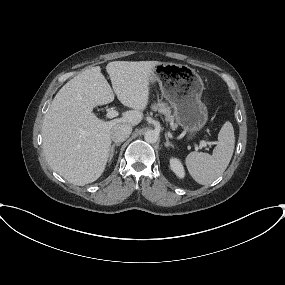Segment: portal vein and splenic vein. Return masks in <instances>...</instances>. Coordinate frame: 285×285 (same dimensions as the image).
<instances>
[{
  "label": "portal vein and splenic vein",
  "mask_w": 285,
  "mask_h": 285,
  "mask_svg": "<svg viewBox=\"0 0 285 285\" xmlns=\"http://www.w3.org/2000/svg\"><path fill=\"white\" fill-rule=\"evenodd\" d=\"M116 116H118V111H116V110H109L106 114V117L109 119L114 118ZM201 145L203 147H207V145H209V143L206 141H201Z\"/></svg>",
  "instance_id": "portal-vein-and-splenic-vein-1"
}]
</instances>
